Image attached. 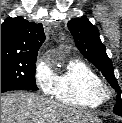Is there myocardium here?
<instances>
[{"instance_id": "obj_1", "label": "myocardium", "mask_w": 122, "mask_h": 123, "mask_svg": "<svg viewBox=\"0 0 122 123\" xmlns=\"http://www.w3.org/2000/svg\"><path fill=\"white\" fill-rule=\"evenodd\" d=\"M92 91H93V94L95 95V97L98 98L101 102L109 99L110 95H111V90H110L109 86L102 81L100 83L96 84L93 87Z\"/></svg>"}]
</instances>
